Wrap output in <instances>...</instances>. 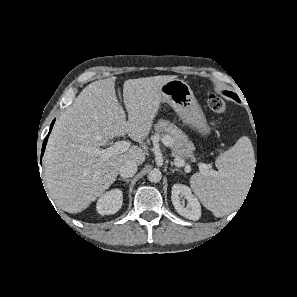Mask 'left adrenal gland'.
Instances as JSON below:
<instances>
[{"mask_svg": "<svg viewBox=\"0 0 297 297\" xmlns=\"http://www.w3.org/2000/svg\"><path fill=\"white\" fill-rule=\"evenodd\" d=\"M170 170H171L172 172L180 171V169H178V168H172V167H170Z\"/></svg>", "mask_w": 297, "mask_h": 297, "instance_id": "1", "label": "left adrenal gland"}]
</instances>
